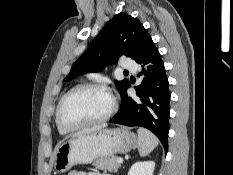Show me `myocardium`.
I'll return each instance as SVG.
<instances>
[{
	"instance_id": "myocardium-1",
	"label": "myocardium",
	"mask_w": 233,
	"mask_h": 175,
	"mask_svg": "<svg viewBox=\"0 0 233 175\" xmlns=\"http://www.w3.org/2000/svg\"><path fill=\"white\" fill-rule=\"evenodd\" d=\"M90 89L103 90L109 94L110 99H111V105H110V108L108 109V111L103 116H101L95 120L87 121V122H84L81 124H76V125H70V124L66 123L63 119L62 112H63V107H64L65 103L67 102V100L70 97H72L74 94H76L80 91L90 90ZM116 109H117L116 99H115L114 95L110 92V90L106 86L99 84V83H85V84H81V85H78V86L72 88L61 98V100L59 101V104L57 106V110H56V122H57L58 126L65 131H76V130H80V129H83L86 127L100 124V123L108 120L115 113Z\"/></svg>"
}]
</instances>
